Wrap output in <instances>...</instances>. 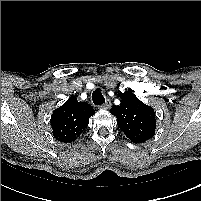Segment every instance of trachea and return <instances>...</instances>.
Here are the masks:
<instances>
[{
    "mask_svg": "<svg viewBox=\"0 0 201 201\" xmlns=\"http://www.w3.org/2000/svg\"><path fill=\"white\" fill-rule=\"evenodd\" d=\"M101 91H102L101 89H96L92 93V100L95 105H101L105 103V98Z\"/></svg>",
    "mask_w": 201,
    "mask_h": 201,
    "instance_id": "obj_1",
    "label": "trachea"
}]
</instances>
